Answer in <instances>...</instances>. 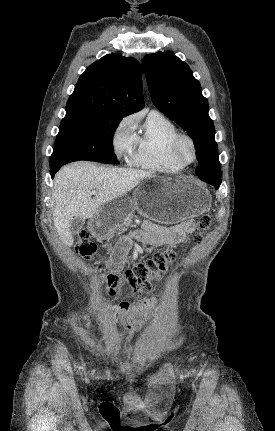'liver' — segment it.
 <instances>
[{
  "label": "liver",
  "mask_w": 275,
  "mask_h": 431,
  "mask_svg": "<svg viewBox=\"0 0 275 431\" xmlns=\"http://www.w3.org/2000/svg\"><path fill=\"white\" fill-rule=\"evenodd\" d=\"M150 177L148 171L99 167L90 162H75L60 169L54 178L53 222L63 244L73 245L70 224L74 217L92 218L101 206L125 196ZM93 190L94 199L90 194Z\"/></svg>",
  "instance_id": "6515ba94"
}]
</instances>
